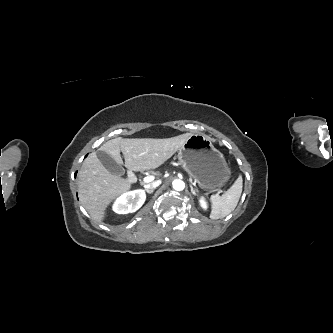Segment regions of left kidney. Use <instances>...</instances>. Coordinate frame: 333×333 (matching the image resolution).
Masks as SVG:
<instances>
[{
	"label": "left kidney",
	"instance_id": "1",
	"mask_svg": "<svg viewBox=\"0 0 333 333\" xmlns=\"http://www.w3.org/2000/svg\"><path fill=\"white\" fill-rule=\"evenodd\" d=\"M200 202V206L203 208V209H207L208 205H207V201L205 200V198H200L199 200Z\"/></svg>",
	"mask_w": 333,
	"mask_h": 333
}]
</instances>
